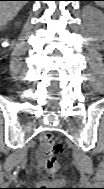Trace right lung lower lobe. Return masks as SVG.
I'll use <instances>...</instances> for the list:
<instances>
[{
	"instance_id": "right-lung-lower-lobe-1",
	"label": "right lung lower lobe",
	"mask_w": 104,
	"mask_h": 189,
	"mask_svg": "<svg viewBox=\"0 0 104 189\" xmlns=\"http://www.w3.org/2000/svg\"><path fill=\"white\" fill-rule=\"evenodd\" d=\"M20 1H33V0H20Z\"/></svg>"
}]
</instances>
